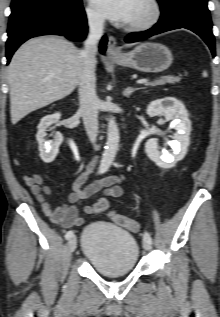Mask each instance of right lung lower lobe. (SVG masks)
<instances>
[{
    "label": "right lung lower lobe",
    "instance_id": "right-lung-lower-lobe-1",
    "mask_svg": "<svg viewBox=\"0 0 220 317\" xmlns=\"http://www.w3.org/2000/svg\"><path fill=\"white\" fill-rule=\"evenodd\" d=\"M66 36L74 41L83 40L87 34L86 15L82 6L76 10L51 7H34L10 15L6 57L8 63L15 50L26 40L40 35ZM107 38L100 43V51L106 49Z\"/></svg>",
    "mask_w": 220,
    "mask_h": 317
}]
</instances>
